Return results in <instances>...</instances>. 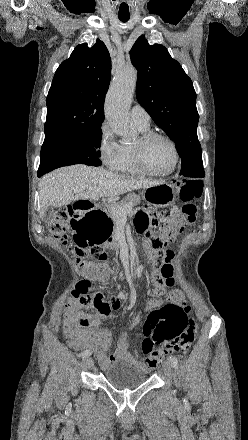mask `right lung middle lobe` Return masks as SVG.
Returning a JSON list of instances; mask_svg holds the SVG:
<instances>
[{
  "label": "right lung middle lobe",
  "instance_id": "right-lung-middle-lobe-1",
  "mask_svg": "<svg viewBox=\"0 0 248 440\" xmlns=\"http://www.w3.org/2000/svg\"><path fill=\"white\" fill-rule=\"evenodd\" d=\"M101 127L82 133L45 139L41 147L38 175L73 164L100 166Z\"/></svg>",
  "mask_w": 248,
  "mask_h": 440
}]
</instances>
